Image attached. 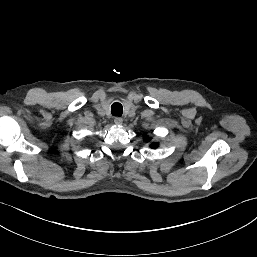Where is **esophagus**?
I'll use <instances>...</instances> for the list:
<instances>
[{"label":"esophagus","mask_w":257,"mask_h":257,"mask_svg":"<svg viewBox=\"0 0 257 257\" xmlns=\"http://www.w3.org/2000/svg\"><path fill=\"white\" fill-rule=\"evenodd\" d=\"M114 123L116 125H121L123 123V119L121 117H115L114 118Z\"/></svg>","instance_id":"1"}]
</instances>
